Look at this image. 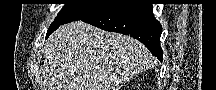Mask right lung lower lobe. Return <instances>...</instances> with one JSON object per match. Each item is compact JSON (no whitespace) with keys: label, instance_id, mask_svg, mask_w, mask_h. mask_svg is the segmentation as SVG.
Masks as SVG:
<instances>
[{"label":"right lung lower lobe","instance_id":"1","mask_svg":"<svg viewBox=\"0 0 216 90\" xmlns=\"http://www.w3.org/2000/svg\"><path fill=\"white\" fill-rule=\"evenodd\" d=\"M81 21L106 31L130 35L142 42L161 62L163 60L160 46L162 27L155 19L150 4H115Z\"/></svg>","mask_w":216,"mask_h":90}]
</instances>
